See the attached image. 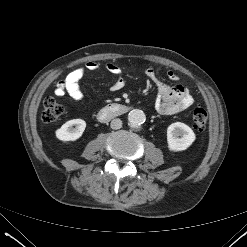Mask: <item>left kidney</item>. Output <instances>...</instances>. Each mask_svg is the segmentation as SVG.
I'll return each instance as SVG.
<instances>
[{"label": "left kidney", "mask_w": 247, "mask_h": 247, "mask_svg": "<svg viewBox=\"0 0 247 247\" xmlns=\"http://www.w3.org/2000/svg\"><path fill=\"white\" fill-rule=\"evenodd\" d=\"M181 136V138H178ZM196 136L193 130L186 124L175 122L167 128V142L170 151H183L192 145Z\"/></svg>", "instance_id": "5707ae66"}]
</instances>
